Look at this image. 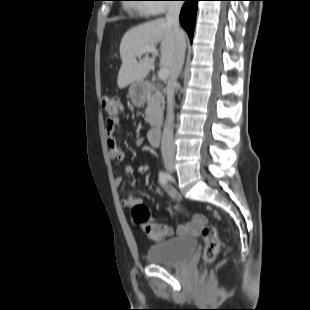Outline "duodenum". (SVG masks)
Wrapping results in <instances>:
<instances>
[{"instance_id":"410a0bca","label":"duodenum","mask_w":310,"mask_h":310,"mask_svg":"<svg viewBox=\"0 0 310 310\" xmlns=\"http://www.w3.org/2000/svg\"><path fill=\"white\" fill-rule=\"evenodd\" d=\"M147 87L151 88L152 84L148 83ZM160 137H161V128L160 127H155L149 131L148 139H149V142L152 146H154V147L158 146V144L160 142Z\"/></svg>"}]
</instances>
